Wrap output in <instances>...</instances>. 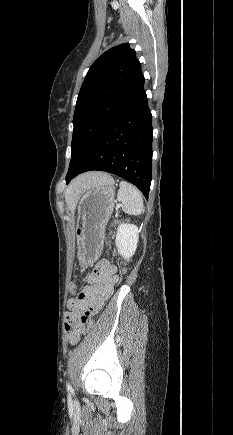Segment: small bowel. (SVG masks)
Returning <instances> with one entry per match:
<instances>
[{"label": "small bowel", "mask_w": 233, "mask_h": 435, "mask_svg": "<svg viewBox=\"0 0 233 435\" xmlns=\"http://www.w3.org/2000/svg\"><path fill=\"white\" fill-rule=\"evenodd\" d=\"M88 284L77 297L68 301L69 312L66 314V326L72 329V336L77 338L88 329L104 302L112 295L117 282L116 267L107 260H101L87 277ZM69 289L76 290L77 285Z\"/></svg>", "instance_id": "1"}]
</instances>
